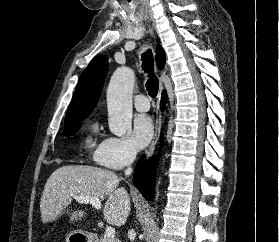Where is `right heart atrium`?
Wrapping results in <instances>:
<instances>
[{"instance_id": "1", "label": "right heart atrium", "mask_w": 279, "mask_h": 242, "mask_svg": "<svg viewBox=\"0 0 279 242\" xmlns=\"http://www.w3.org/2000/svg\"><path fill=\"white\" fill-rule=\"evenodd\" d=\"M136 156L137 150L128 138L108 136L95 149L93 159L108 169H121L130 165Z\"/></svg>"}]
</instances>
